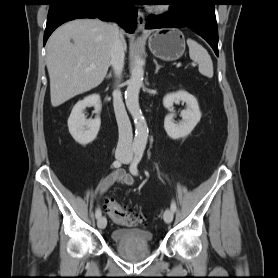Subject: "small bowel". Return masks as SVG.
<instances>
[{"label":"small bowel","instance_id":"small-bowel-1","mask_svg":"<svg viewBox=\"0 0 278 278\" xmlns=\"http://www.w3.org/2000/svg\"><path fill=\"white\" fill-rule=\"evenodd\" d=\"M116 183L126 186H133L135 184V178L122 168L116 169L101 180L97 186L96 193L105 192Z\"/></svg>","mask_w":278,"mask_h":278}]
</instances>
